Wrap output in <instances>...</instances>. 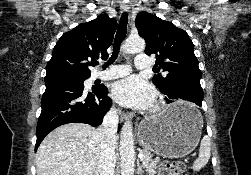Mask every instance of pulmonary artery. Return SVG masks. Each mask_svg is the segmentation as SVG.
<instances>
[{
  "label": "pulmonary artery",
  "instance_id": "1",
  "mask_svg": "<svg viewBox=\"0 0 251 175\" xmlns=\"http://www.w3.org/2000/svg\"><path fill=\"white\" fill-rule=\"evenodd\" d=\"M135 58L136 62H133V67H138V70L147 71L148 67H153V62H151V58H149L145 52H138ZM130 72L131 68L128 64H121L108 69L102 77L104 79L116 78L125 76Z\"/></svg>",
  "mask_w": 251,
  "mask_h": 175
}]
</instances>
